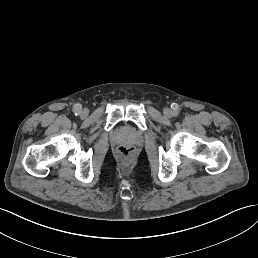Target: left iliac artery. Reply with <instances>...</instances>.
<instances>
[{"label":"left iliac artery","instance_id":"1","mask_svg":"<svg viewBox=\"0 0 258 258\" xmlns=\"http://www.w3.org/2000/svg\"><path fill=\"white\" fill-rule=\"evenodd\" d=\"M172 115H173L174 117H177V116L179 115V112H178V111H174V112L172 113Z\"/></svg>","mask_w":258,"mask_h":258}]
</instances>
